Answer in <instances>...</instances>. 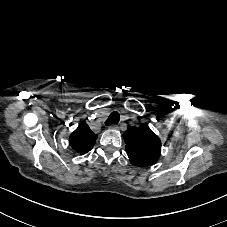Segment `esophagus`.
<instances>
[{
    "mask_svg": "<svg viewBox=\"0 0 227 227\" xmlns=\"http://www.w3.org/2000/svg\"><path fill=\"white\" fill-rule=\"evenodd\" d=\"M110 129H118V126L112 125V126H110Z\"/></svg>",
    "mask_w": 227,
    "mask_h": 227,
    "instance_id": "esophagus-1",
    "label": "esophagus"
}]
</instances>
